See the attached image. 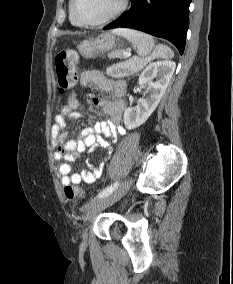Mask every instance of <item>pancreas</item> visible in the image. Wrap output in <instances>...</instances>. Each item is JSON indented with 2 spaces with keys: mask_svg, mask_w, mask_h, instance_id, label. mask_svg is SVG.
Segmentation results:
<instances>
[{
  "mask_svg": "<svg viewBox=\"0 0 233 284\" xmlns=\"http://www.w3.org/2000/svg\"><path fill=\"white\" fill-rule=\"evenodd\" d=\"M108 57L110 59L114 58H125L124 51L123 50H117L110 52L108 54ZM147 60H141L137 57H133L132 59L127 60L124 64L128 66V69L131 73L137 72L139 69H141L145 64Z\"/></svg>",
  "mask_w": 233,
  "mask_h": 284,
  "instance_id": "1",
  "label": "pancreas"
}]
</instances>
